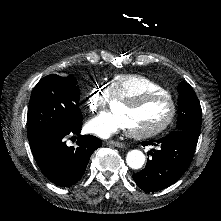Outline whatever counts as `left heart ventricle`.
<instances>
[{
  "instance_id": "obj_1",
  "label": "left heart ventricle",
  "mask_w": 221,
  "mask_h": 221,
  "mask_svg": "<svg viewBox=\"0 0 221 221\" xmlns=\"http://www.w3.org/2000/svg\"><path fill=\"white\" fill-rule=\"evenodd\" d=\"M170 115L171 106L166 101L155 102L153 100L138 107L134 120L139 121L141 124H146L156 120H166Z\"/></svg>"
}]
</instances>
